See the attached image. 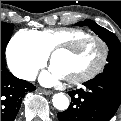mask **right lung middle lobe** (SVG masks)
<instances>
[{
  "label": "right lung middle lobe",
  "instance_id": "dd1d6c3e",
  "mask_svg": "<svg viewBox=\"0 0 121 121\" xmlns=\"http://www.w3.org/2000/svg\"><path fill=\"white\" fill-rule=\"evenodd\" d=\"M13 26L1 22V58L5 57V48L10 40Z\"/></svg>",
  "mask_w": 121,
  "mask_h": 121
}]
</instances>
